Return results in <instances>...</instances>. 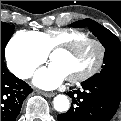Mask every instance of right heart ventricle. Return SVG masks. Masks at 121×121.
Returning a JSON list of instances; mask_svg holds the SVG:
<instances>
[{
	"mask_svg": "<svg viewBox=\"0 0 121 121\" xmlns=\"http://www.w3.org/2000/svg\"><path fill=\"white\" fill-rule=\"evenodd\" d=\"M21 33L34 38L45 54L58 45H70L87 38V35L82 32L61 29L22 31Z\"/></svg>",
	"mask_w": 121,
	"mask_h": 121,
	"instance_id": "obj_1",
	"label": "right heart ventricle"
}]
</instances>
